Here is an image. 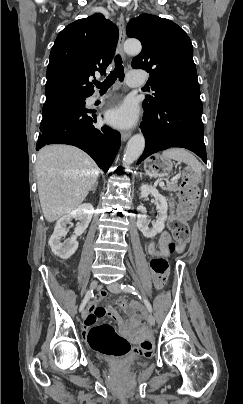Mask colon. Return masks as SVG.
I'll return each instance as SVG.
<instances>
[{
	"mask_svg": "<svg viewBox=\"0 0 243 404\" xmlns=\"http://www.w3.org/2000/svg\"><path fill=\"white\" fill-rule=\"evenodd\" d=\"M198 199L197 178L195 174L187 169L183 175L180 192V203L176 214L171 215L169 227L173 238L165 244V252L152 259L151 272L152 280L157 289H161L167 282L169 269L167 256L174 252H180L189 240L188 217L193 213ZM117 305L127 313H133V307L124 299H118ZM87 340L90 347L96 352L105 356H123L130 351L129 342L119 335L109 323L93 326L89 329ZM144 355H150L153 349V342L149 339L143 340L140 345Z\"/></svg>",
	"mask_w": 243,
	"mask_h": 404,
	"instance_id": "5ec220e1",
	"label": "colon"
}]
</instances>
